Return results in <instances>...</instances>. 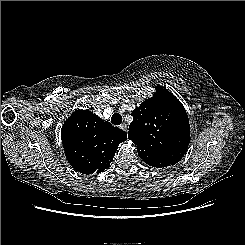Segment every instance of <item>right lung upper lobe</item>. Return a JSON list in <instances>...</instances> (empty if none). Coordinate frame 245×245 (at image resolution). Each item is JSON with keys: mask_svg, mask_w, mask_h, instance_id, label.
I'll use <instances>...</instances> for the list:
<instances>
[{"mask_svg": "<svg viewBox=\"0 0 245 245\" xmlns=\"http://www.w3.org/2000/svg\"><path fill=\"white\" fill-rule=\"evenodd\" d=\"M127 133L89 110L75 111L63 124L61 139L71 166L83 173H100L110 166Z\"/></svg>", "mask_w": 245, "mask_h": 245, "instance_id": "obj_1", "label": "right lung upper lobe"}]
</instances>
